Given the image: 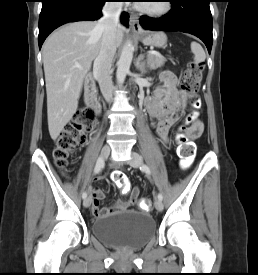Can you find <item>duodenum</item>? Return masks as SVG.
I'll use <instances>...</instances> for the list:
<instances>
[{
  "instance_id": "1",
  "label": "duodenum",
  "mask_w": 258,
  "mask_h": 275,
  "mask_svg": "<svg viewBox=\"0 0 258 275\" xmlns=\"http://www.w3.org/2000/svg\"><path fill=\"white\" fill-rule=\"evenodd\" d=\"M85 103L91 108L96 114L100 112V102L98 97V91L95 84L89 81L85 90Z\"/></svg>"
}]
</instances>
